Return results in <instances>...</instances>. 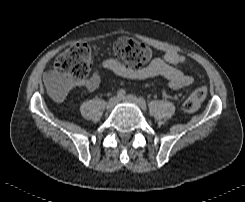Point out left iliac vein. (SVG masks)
<instances>
[{"label": "left iliac vein", "mask_w": 245, "mask_h": 202, "mask_svg": "<svg viewBox=\"0 0 245 202\" xmlns=\"http://www.w3.org/2000/svg\"><path fill=\"white\" fill-rule=\"evenodd\" d=\"M122 100L128 103H133V104L140 106L139 99L134 95H126L122 98Z\"/></svg>", "instance_id": "1"}]
</instances>
